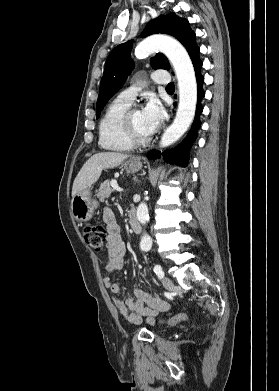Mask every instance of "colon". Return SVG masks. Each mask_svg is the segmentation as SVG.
Masks as SVG:
<instances>
[{
	"instance_id": "1",
	"label": "colon",
	"mask_w": 279,
	"mask_h": 391,
	"mask_svg": "<svg viewBox=\"0 0 279 391\" xmlns=\"http://www.w3.org/2000/svg\"><path fill=\"white\" fill-rule=\"evenodd\" d=\"M83 236L86 243L95 251L103 250L106 239L107 231L102 224H87L83 229ZM189 319L187 314H178L166 319L168 324H176L181 321H186Z\"/></svg>"
}]
</instances>
